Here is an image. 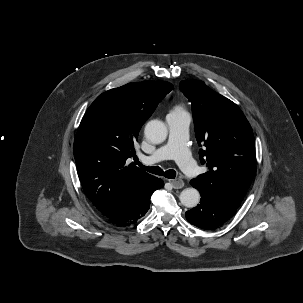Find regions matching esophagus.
<instances>
[{"instance_id":"esophagus-1","label":"esophagus","mask_w":303,"mask_h":303,"mask_svg":"<svg viewBox=\"0 0 303 303\" xmlns=\"http://www.w3.org/2000/svg\"><path fill=\"white\" fill-rule=\"evenodd\" d=\"M174 189H181L184 187V182L180 178L169 180Z\"/></svg>"}]
</instances>
